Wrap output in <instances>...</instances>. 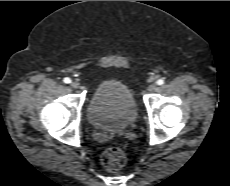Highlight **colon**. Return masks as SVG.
Here are the masks:
<instances>
[{
    "label": "colon",
    "instance_id": "colon-1",
    "mask_svg": "<svg viewBox=\"0 0 230 186\" xmlns=\"http://www.w3.org/2000/svg\"><path fill=\"white\" fill-rule=\"evenodd\" d=\"M102 165L109 171H118L126 163V154L120 147L107 149L101 157Z\"/></svg>",
    "mask_w": 230,
    "mask_h": 186
}]
</instances>
